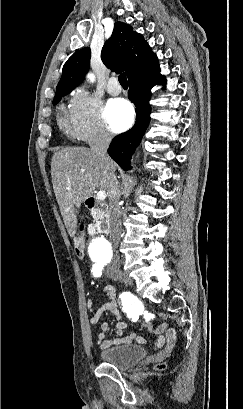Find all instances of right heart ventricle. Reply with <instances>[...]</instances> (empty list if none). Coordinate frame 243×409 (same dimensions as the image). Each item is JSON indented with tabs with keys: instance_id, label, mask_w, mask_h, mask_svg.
Wrapping results in <instances>:
<instances>
[{
	"instance_id": "obj_1",
	"label": "right heart ventricle",
	"mask_w": 243,
	"mask_h": 409,
	"mask_svg": "<svg viewBox=\"0 0 243 409\" xmlns=\"http://www.w3.org/2000/svg\"><path fill=\"white\" fill-rule=\"evenodd\" d=\"M59 125L64 131L70 133L69 115L63 107L59 114Z\"/></svg>"
}]
</instances>
